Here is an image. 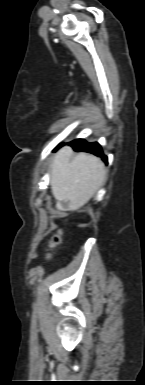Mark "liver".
Masks as SVG:
<instances>
[{
    "instance_id": "1",
    "label": "liver",
    "mask_w": 145,
    "mask_h": 385,
    "mask_svg": "<svg viewBox=\"0 0 145 385\" xmlns=\"http://www.w3.org/2000/svg\"><path fill=\"white\" fill-rule=\"evenodd\" d=\"M73 156L66 146L56 154L51 167V190L60 211H74L85 205L105 181L104 163L96 156Z\"/></svg>"
}]
</instances>
